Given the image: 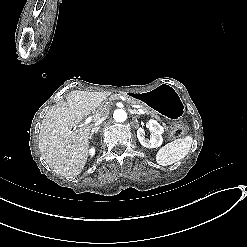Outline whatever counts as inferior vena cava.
Masks as SVG:
<instances>
[{
  "label": "inferior vena cava",
  "mask_w": 247,
  "mask_h": 247,
  "mask_svg": "<svg viewBox=\"0 0 247 247\" xmlns=\"http://www.w3.org/2000/svg\"><path fill=\"white\" fill-rule=\"evenodd\" d=\"M106 119V116L100 117L96 122L94 128H97L104 120Z\"/></svg>",
  "instance_id": "obj_1"
}]
</instances>
